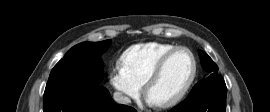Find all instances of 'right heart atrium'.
Here are the masks:
<instances>
[{
	"instance_id": "obj_1",
	"label": "right heart atrium",
	"mask_w": 270,
	"mask_h": 112,
	"mask_svg": "<svg viewBox=\"0 0 270 112\" xmlns=\"http://www.w3.org/2000/svg\"><path fill=\"white\" fill-rule=\"evenodd\" d=\"M109 80L118 92L120 100L128 103L136 99L142 92V85L138 83L121 63H116L110 70Z\"/></svg>"
}]
</instances>
